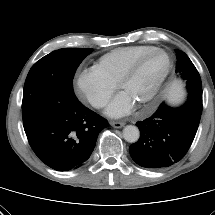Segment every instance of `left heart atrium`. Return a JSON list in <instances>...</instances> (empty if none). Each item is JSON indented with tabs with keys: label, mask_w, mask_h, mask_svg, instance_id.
<instances>
[{
	"label": "left heart atrium",
	"mask_w": 215,
	"mask_h": 215,
	"mask_svg": "<svg viewBox=\"0 0 215 215\" xmlns=\"http://www.w3.org/2000/svg\"><path fill=\"white\" fill-rule=\"evenodd\" d=\"M134 106V102L124 92H120L108 105L105 113L110 117L119 118L129 114Z\"/></svg>",
	"instance_id": "obj_1"
}]
</instances>
